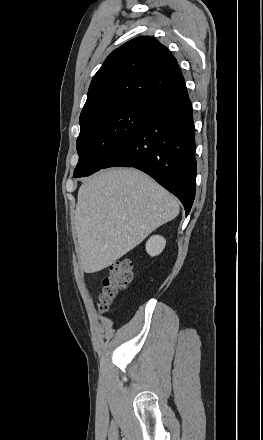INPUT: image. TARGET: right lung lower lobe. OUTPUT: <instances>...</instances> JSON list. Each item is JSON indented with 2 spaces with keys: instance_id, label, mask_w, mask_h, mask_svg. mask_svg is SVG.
<instances>
[{
  "instance_id": "right-lung-lower-lobe-1",
  "label": "right lung lower lobe",
  "mask_w": 263,
  "mask_h": 440,
  "mask_svg": "<svg viewBox=\"0 0 263 440\" xmlns=\"http://www.w3.org/2000/svg\"><path fill=\"white\" fill-rule=\"evenodd\" d=\"M134 167L155 179L182 202L186 215L196 191L195 133L186 85L155 100L138 130L103 168Z\"/></svg>"
}]
</instances>
